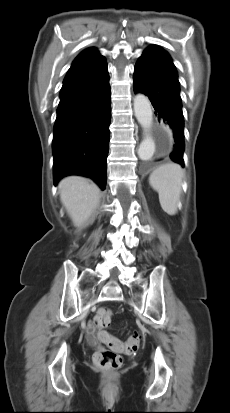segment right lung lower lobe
Segmentation results:
<instances>
[{"label":"right lung lower lobe","mask_w":230,"mask_h":413,"mask_svg":"<svg viewBox=\"0 0 230 413\" xmlns=\"http://www.w3.org/2000/svg\"><path fill=\"white\" fill-rule=\"evenodd\" d=\"M110 120L107 68L63 84L52 144L55 185L67 175H82L105 189Z\"/></svg>","instance_id":"1"}]
</instances>
